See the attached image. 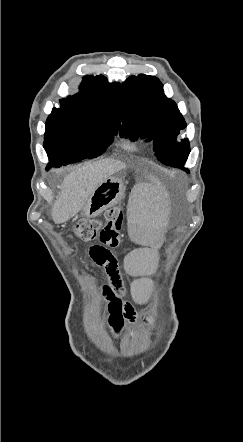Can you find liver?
I'll use <instances>...</instances> for the list:
<instances>
[{"instance_id":"liver-1","label":"liver","mask_w":243,"mask_h":442,"mask_svg":"<svg viewBox=\"0 0 243 442\" xmlns=\"http://www.w3.org/2000/svg\"><path fill=\"white\" fill-rule=\"evenodd\" d=\"M126 164L115 159L88 162L67 175L52 207L54 223L62 224L74 217L108 177L124 169Z\"/></svg>"}]
</instances>
